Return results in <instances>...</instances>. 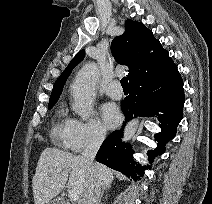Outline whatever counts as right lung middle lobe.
Returning a JSON list of instances; mask_svg holds the SVG:
<instances>
[{
	"label": "right lung middle lobe",
	"instance_id": "obj_1",
	"mask_svg": "<svg viewBox=\"0 0 212 204\" xmlns=\"http://www.w3.org/2000/svg\"><path fill=\"white\" fill-rule=\"evenodd\" d=\"M54 104H55V102H50L49 105H48V109H51Z\"/></svg>",
	"mask_w": 212,
	"mask_h": 204
}]
</instances>
